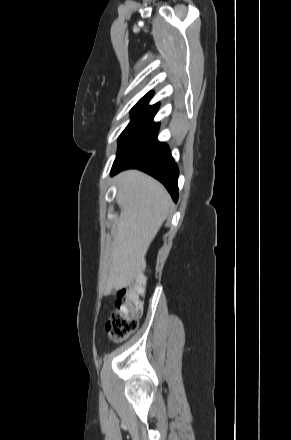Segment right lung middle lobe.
<instances>
[{
  "instance_id": "1",
  "label": "right lung middle lobe",
  "mask_w": 291,
  "mask_h": 440,
  "mask_svg": "<svg viewBox=\"0 0 291 440\" xmlns=\"http://www.w3.org/2000/svg\"><path fill=\"white\" fill-rule=\"evenodd\" d=\"M148 101H139L131 110V121L125 128V130L121 133L118 138V151L122 148L127 139L131 136L134 130L137 128L139 123L142 121L144 116L150 109V106L147 105Z\"/></svg>"
}]
</instances>
